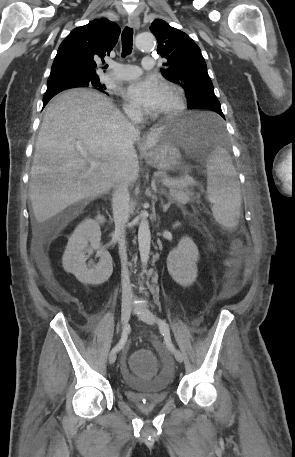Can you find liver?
Returning a JSON list of instances; mask_svg holds the SVG:
<instances>
[{"label":"liver","instance_id":"6515ba94","mask_svg":"<svg viewBox=\"0 0 295 457\" xmlns=\"http://www.w3.org/2000/svg\"><path fill=\"white\" fill-rule=\"evenodd\" d=\"M162 127L151 130L144 147L156 145ZM139 137V130L96 91L72 89L56 97L46 109L30 172L36 220L45 222L76 202L106 194L120 176L132 185L139 173L134 149ZM84 155L100 166L91 167Z\"/></svg>","mask_w":295,"mask_h":457}]
</instances>
